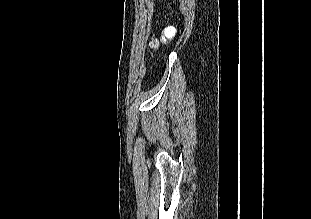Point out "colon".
<instances>
[{
	"label": "colon",
	"instance_id": "obj_1",
	"mask_svg": "<svg viewBox=\"0 0 311 219\" xmlns=\"http://www.w3.org/2000/svg\"><path fill=\"white\" fill-rule=\"evenodd\" d=\"M174 35V30L172 28L166 29L163 35L159 39H154L152 42L153 48H158L161 44L165 43L167 40L172 38Z\"/></svg>",
	"mask_w": 311,
	"mask_h": 219
}]
</instances>
